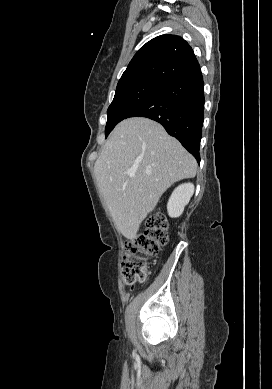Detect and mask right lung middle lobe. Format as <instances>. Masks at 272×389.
<instances>
[{"label": "right lung middle lobe", "instance_id": "right-lung-middle-lobe-1", "mask_svg": "<svg viewBox=\"0 0 272 389\" xmlns=\"http://www.w3.org/2000/svg\"><path fill=\"white\" fill-rule=\"evenodd\" d=\"M163 86L165 84L155 81H137L117 86L114 99L107 110L106 137L134 107Z\"/></svg>", "mask_w": 272, "mask_h": 389}]
</instances>
